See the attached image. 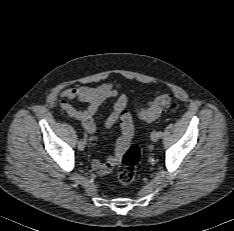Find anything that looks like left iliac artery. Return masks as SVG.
<instances>
[{
  "mask_svg": "<svg viewBox=\"0 0 234 231\" xmlns=\"http://www.w3.org/2000/svg\"><path fill=\"white\" fill-rule=\"evenodd\" d=\"M159 138L163 136V133L161 131L158 132Z\"/></svg>",
  "mask_w": 234,
  "mask_h": 231,
  "instance_id": "1",
  "label": "left iliac artery"
}]
</instances>
